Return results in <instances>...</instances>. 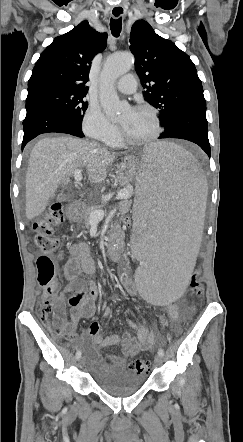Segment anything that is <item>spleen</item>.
Returning a JSON list of instances; mask_svg holds the SVG:
<instances>
[{"label":"spleen","instance_id":"1","mask_svg":"<svg viewBox=\"0 0 243 442\" xmlns=\"http://www.w3.org/2000/svg\"><path fill=\"white\" fill-rule=\"evenodd\" d=\"M134 277L138 296L152 307L181 302L203 229L206 178L195 157L178 145L142 147L136 168ZM154 192V193H142Z\"/></svg>","mask_w":243,"mask_h":442}]
</instances>
